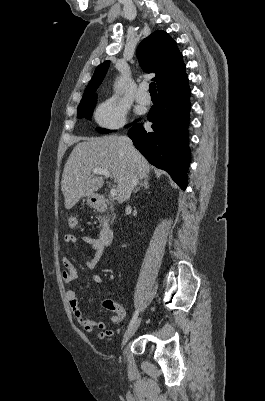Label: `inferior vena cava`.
Segmentation results:
<instances>
[{
    "label": "inferior vena cava",
    "mask_w": 265,
    "mask_h": 401,
    "mask_svg": "<svg viewBox=\"0 0 265 401\" xmlns=\"http://www.w3.org/2000/svg\"><path fill=\"white\" fill-rule=\"evenodd\" d=\"M125 140H126L127 144H129V146H133L132 140H130V138H128V136H125ZM138 180H139V178H138L137 174H134V176H131L127 186H125V188H124L125 198H130V194H131L134 186H136Z\"/></svg>",
    "instance_id": "1"
}]
</instances>
